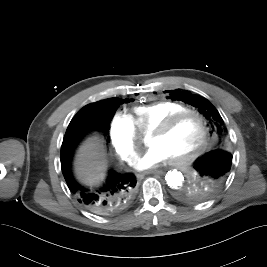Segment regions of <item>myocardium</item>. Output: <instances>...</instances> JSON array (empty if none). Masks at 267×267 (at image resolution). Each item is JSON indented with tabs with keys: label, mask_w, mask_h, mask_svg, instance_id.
Returning <instances> with one entry per match:
<instances>
[{
	"label": "myocardium",
	"mask_w": 267,
	"mask_h": 267,
	"mask_svg": "<svg viewBox=\"0 0 267 267\" xmlns=\"http://www.w3.org/2000/svg\"><path fill=\"white\" fill-rule=\"evenodd\" d=\"M188 116H194L200 121L202 126V137L198 146L191 154L181 158L171 159V162L176 165L189 164L205 151L208 144V136H209V128L206 118L198 111L185 110L171 115L151 131L152 135H164L167 132H169L172 128H174L181 120H183L185 117Z\"/></svg>",
	"instance_id": "myocardium-1"
}]
</instances>
